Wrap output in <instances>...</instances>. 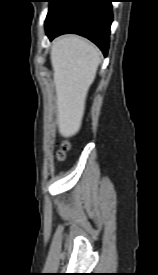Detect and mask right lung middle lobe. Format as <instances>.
<instances>
[{
  "label": "right lung middle lobe",
  "instance_id": "obj_1",
  "mask_svg": "<svg viewBox=\"0 0 158 275\" xmlns=\"http://www.w3.org/2000/svg\"><path fill=\"white\" fill-rule=\"evenodd\" d=\"M59 0H51L48 13L58 4Z\"/></svg>",
  "mask_w": 158,
  "mask_h": 275
}]
</instances>
